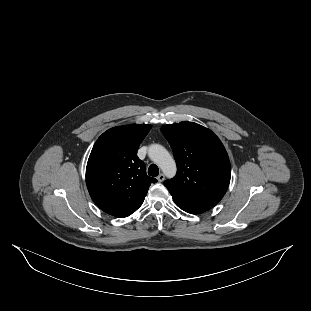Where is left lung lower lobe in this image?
<instances>
[{
	"label": "left lung lower lobe",
	"instance_id": "0a47b994",
	"mask_svg": "<svg viewBox=\"0 0 311 311\" xmlns=\"http://www.w3.org/2000/svg\"><path fill=\"white\" fill-rule=\"evenodd\" d=\"M173 200L176 203V205L181 208L182 210L191 213V214H198L202 213L204 211L209 210L211 207L204 206V205H198L194 203L187 202L179 197L173 196Z\"/></svg>",
	"mask_w": 311,
	"mask_h": 311
}]
</instances>
